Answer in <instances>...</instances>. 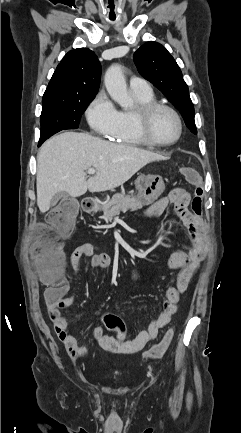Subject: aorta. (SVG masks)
<instances>
[{
    "instance_id": "1",
    "label": "aorta",
    "mask_w": 241,
    "mask_h": 433,
    "mask_svg": "<svg viewBox=\"0 0 241 433\" xmlns=\"http://www.w3.org/2000/svg\"><path fill=\"white\" fill-rule=\"evenodd\" d=\"M104 83L110 97L121 107H130L133 100L130 97L124 75L119 65H112L105 73Z\"/></svg>"
}]
</instances>
